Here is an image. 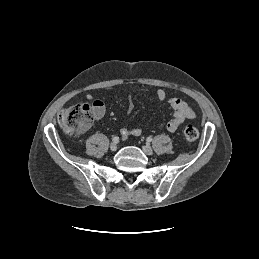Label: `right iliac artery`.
Masks as SVG:
<instances>
[{
    "instance_id": "right-iliac-artery-1",
    "label": "right iliac artery",
    "mask_w": 259,
    "mask_h": 259,
    "mask_svg": "<svg viewBox=\"0 0 259 259\" xmlns=\"http://www.w3.org/2000/svg\"><path fill=\"white\" fill-rule=\"evenodd\" d=\"M112 141H113L114 143H118V142H119V137L114 136V137L112 138Z\"/></svg>"
}]
</instances>
